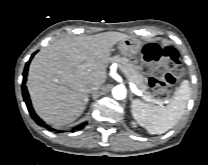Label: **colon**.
<instances>
[{"mask_svg":"<svg viewBox=\"0 0 208 165\" xmlns=\"http://www.w3.org/2000/svg\"><path fill=\"white\" fill-rule=\"evenodd\" d=\"M142 56V69L151 74L150 86L160 96L168 95L177 81V76L182 72L178 51L170 46L161 48L156 44H147Z\"/></svg>","mask_w":208,"mask_h":165,"instance_id":"1","label":"colon"}]
</instances>
